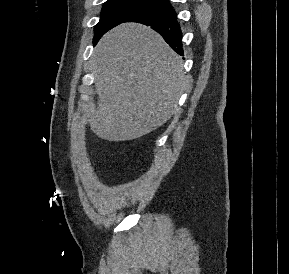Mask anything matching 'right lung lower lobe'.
<instances>
[{"instance_id":"obj_1","label":"right lung lower lobe","mask_w":289,"mask_h":274,"mask_svg":"<svg viewBox=\"0 0 289 274\" xmlns=\"http://www.w3.org/2000/svg\"><path fill=\"white\" fill-rule=\"evenodd\" d=\"M125 22H137L151 26L152 29L162 35L175 52L183 55L180 26L177 22L176 13L167 0L129 18Z\"/></svg>"}]
</instances>
